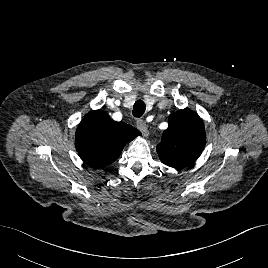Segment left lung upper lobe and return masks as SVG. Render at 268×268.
Segmentation results:
<instances>
[{"label":"left lung upper lobe","instance_id":"obj_1","mask_svg":"<svg viewBox=\"0 0 268 268\" xmlns=\"http://www.w3.org/2000/svg\"><path fill=\"white\" fill-rule=\"evenodd\" d=\"M206 143L204 123L189 108L171 114L157 153L161 162L172 168L191 165Z\"/></svg>","mask_w":268,"mask_h":268}]
</instances>
